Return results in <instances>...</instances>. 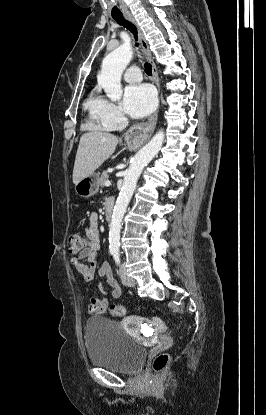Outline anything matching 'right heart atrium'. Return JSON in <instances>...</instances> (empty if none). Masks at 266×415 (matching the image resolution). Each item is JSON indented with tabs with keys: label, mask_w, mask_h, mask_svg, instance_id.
Instances as JSON below:
<instances>
[{
	"label": "right heart atrium",
	"mask_w": 266,
	"mask_h": 415,
	"mask_svg": "<svg viewBox=\"0 0 266 415\" xmlns=\"http://www.w3.org/2000/svg\"><path fill=\"white\" fill-rule=\"evenodd\" d=\"M88 109L98 125L107 130L115 129L126 121L122 109L102 96L93 97L88 104Z\"/></svg>",
	"instance_id": "1"
}]
</instances>
